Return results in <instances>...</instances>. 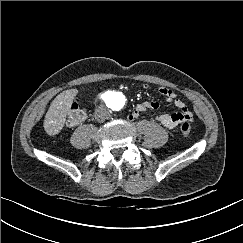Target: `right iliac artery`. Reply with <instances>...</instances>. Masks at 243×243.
Segmentation results:
<instances>
[{
	"label": "right iliac artery",
	"mask_w": 243,
	"mask_h": 243,
	"mask_svg": "<svg viewBox=\"0 0 243 243\" xmlns=\"http://www.w3.org/2000/svg\"><path fill=\"white\" fill-rule=\"evenodd\" d=\"M101 98H102L104 101H107L108 98H109V96L107 95V93H105V94H102V95H101Z\"/></svg>",
	"instance_id": "right-iliac-artery-1"
}]
</instances>
